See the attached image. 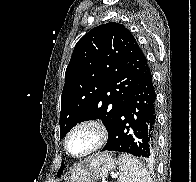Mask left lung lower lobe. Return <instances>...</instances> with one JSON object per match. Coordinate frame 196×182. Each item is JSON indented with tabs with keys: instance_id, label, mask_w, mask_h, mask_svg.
I'll return each instance as SVG.
<instances>
[{
	"instance_id": "obj_1",
	"label": "left lung lower lobe",
	"mask_w": 196,
	"mask_h": 182,
	"mask_svg": "<svg viewBox=\"0 0 196 182\" xmlns=\"http://www.w3.org/2000/svg\"><path fill=\"white\" fill-rule=\"evenodd\" d=\"M156 93L148 68L120 107L102 151H119L153 158L156 150Z\"/></svg>"
}]
</instances>
